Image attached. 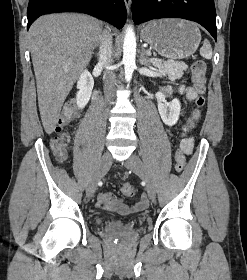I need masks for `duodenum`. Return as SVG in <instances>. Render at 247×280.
<instances>
[{
    "instance_id": "obj_1",
    "label": "duodenum",
    "mask_w": 247,
    "mask_h": 280,
    "mask_svg": "<svg viewBox=\"0 0 247 280\" xmlns=\"http://www.w3.org/2000/svg\"><path fill=\"white\" fill-rule=\"evenodd\" d=\"M96 98H97V92L95 91V92H93V94H92V101H95Z\"/></svg>"
}]
</instances>
